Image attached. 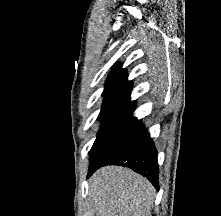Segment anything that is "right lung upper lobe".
Segmentation results:
<instances>
[{
	"mask_svg": "<svg viewBox=\"0 0 221 216\" xmlns=\"http://www.w3.org/2000/svg\"><path fill=\"white\" fill-rule=\"evenodd\" d=\"M132 82L126 72L117 66L110 74L103 92L104 103L98 118L107 119L121 115H132L135 103L130 101Z\"/></svg>",
	"mask_w": 221,
	"mask_h": 216,
	"instance_id": "obj_1",
	"label": "right lung upper lobe"
}]
</instances>
